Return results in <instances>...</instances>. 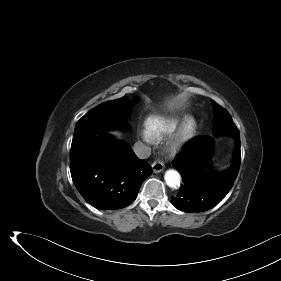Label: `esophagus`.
Returning a JSON list of instances; mask_svg holds the SVG:
<instances>
[{"label":"esophagus","mask_w":281,"mask_h":281,"mask_svg":"<svg viewBox=\"0 0 281 281\" xmlns=\"http://www.w3.org/2000/svg\"><path fill=\"white\" fill-rule=\"evenodd\" d=\"M164 167V163L159 160H156L152 163V170L154 173H159L163 171Z\"/></svg>","instance_id":"1"}]
</instances>
